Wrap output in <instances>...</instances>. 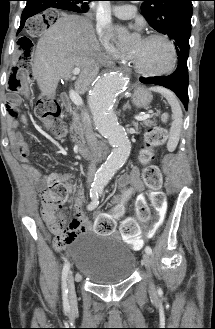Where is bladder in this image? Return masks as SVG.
Segmentation results:
<instances>
[{"label":"bladder","mask_w":215,"mask_h":329,"mask_svg":"<svg viewBox=\"0 0 215 329\" xmlns=\"http://www.w3.org/2000/svg\"><path fill=\"white\" fill-rule=\"evenodd\" d=\"M77 272L93 284L110 285L129 279L136 257L126 243L109 234L81 233L70 246Z\"/></svg>","instance_id":"obj_1"}]
</instances>
